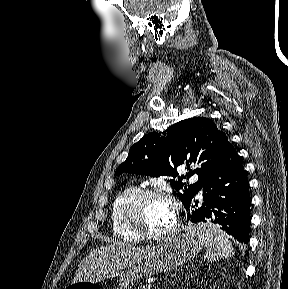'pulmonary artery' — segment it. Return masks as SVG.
Returning a JSON list of instances; mask_svg holds the SVG:
<instances>
[{"mask_svg": "<svg viewBox=\"0 0 288 289\" xmlns=\"http://www.w3.org/2000/svg\"><path fill=\"white\" fill-rule=\"evenodd\" d=\"M197 179V177H194L193 180L195 181Z\"/></svg>", "mask_w": 288, "mask_h": 289, "instance_id": "e3ab8cb5", "label": "pulmonary artery"}]
</instances>
